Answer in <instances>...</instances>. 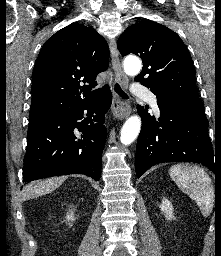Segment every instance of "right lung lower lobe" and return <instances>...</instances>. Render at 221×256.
I'll return each instance as SVG.
<instances>
[{"label": "right lung lower lobe", "mask_w": 221, "mask_h": 256, "mask_svg": "<svg viewBox=\"0 0 221 256\" xmlns=\"http://www.w3.org/2000/svg\"><path fill=\"white\" fill-rule=\"evenodd\" d=\"M111 102L107 88L89 101L30 123L24 183L67 174H85L98 181L107 135L105 114Z\"/></svg>", "instance_id": "obj_1"}]
</instances>
